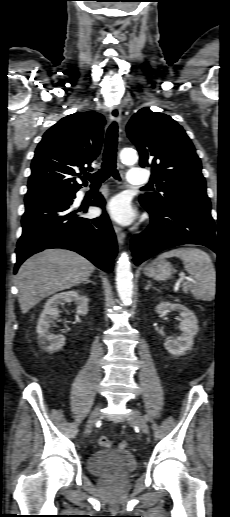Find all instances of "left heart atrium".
I'll list each match as a JSON object with an SVG mask.
<instances>
[{
  "mask_svg": "<svg viewBox=\"0 0 230 517\" xmlns=\"http://www.w3.org/2000/svg\"><path fill=\"white\" fill-rule=\"evenodd\" d=\"M107 210L114 220L124 224L130 222L134 216L130 202L123 196L114 197Z\"/></svg>",
  "mask_w": 230,
  "mask_h": 517,
  "instance_id": "left-heart-atrium-1",
  "label": "left heart atrium"
}]
</instances>
